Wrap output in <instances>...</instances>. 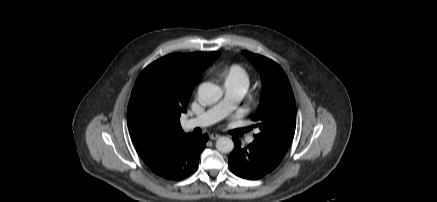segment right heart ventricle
<instances>
[{
  "label": "right heart ventricle",
  "instance_id": "obj_1",
  "mask_svg": "<svg viewBox=\"0 0 437 202\" xmlns=\"http://www.w3.org/2000/svg\"><path fill=\"white\" fill-rule=\"evenodd\" d=\"M225 82H238L248 86L249 76L247 71L238 64L231 65L224 73Z\"/></svg>",
  "mask_w": 437,
  "mask_h": 202
}]
</instances>
